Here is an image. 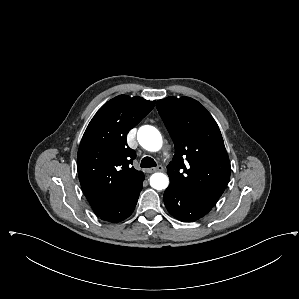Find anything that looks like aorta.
<instances>
[{
	"instance_id": "aorta-1",
	"label": "aorta",
	"mask_w": 299,
	"mask_h": 299,
	"mask_svg": "<svg viewBox=\"0 0 299 299\" xmlns=\"http://www.w3.org/2000/svg\"><path fill=\"white\" fill-rule=\"evenodd\" d=\"M139 144L146 150L156 152L162 147V136L153 126L144 125L137 133ZM150 185L156 190L166 189L169 185V178L163 173H154L150 177Z\"/></svg>"
}]
</instances>
